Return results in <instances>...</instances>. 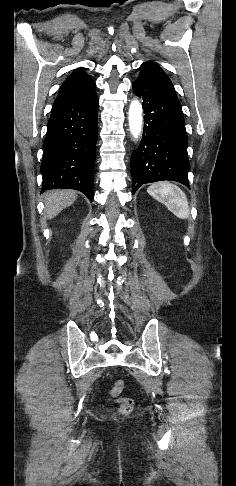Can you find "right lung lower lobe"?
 <instances>
[{
  "label": "right lung lower lobe",
  "mask_w": 236,
  "mask_h": 486,
  "mask_svg": "<svg viewBox=\"0 0 236 486\" xmlns=\"http://www.w3.org/2000/svg\"><path fill=\"white\" fill-rule=\"evenodd\" d=\"M98 131V97L53 106L43 144L41 193L76 189L93 200V173Z\"/></svg>",
  "instance_id": "98d812e1"
}]
</instances>
